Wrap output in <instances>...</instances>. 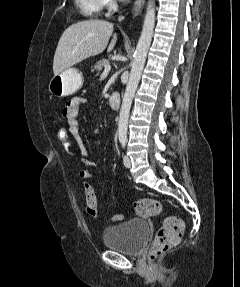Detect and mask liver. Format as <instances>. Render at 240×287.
<instances>
[{
    "mask_svg": "<svg viewBox=\"0 0 240 287\" xmlns=\"http://www.w3.org/2000/svg\"><path fill=\"white\" fill-rule=\"evenodd\" d=\"M113 33V24L99 19L81 21L69 26L62 34L53 60L54 75L97 55L105 50ZM117 41V35L108 46L110 52Z\"/></svg>",
    "mask_w": 240,
    "mask_h": 287,
    "instance_id": "liver-1",
    "label": "liver"
}]
</instances>
